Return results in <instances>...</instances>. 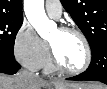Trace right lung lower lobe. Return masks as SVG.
<instances>
[{"mask_svg":"<svg viewBox=\"0 0 107 89\" xmlns=\"http://www.w3.org/2000/svg\"><path fill=\"white\" fill-rule=\"evenodd\" d=\"M20 65L14 60L10 61L0 57V72L5 74H15L19 69Z\"/></svg>","mask_w":107,"mask_h":89,"instance_id":"98d812e1","label":"right lung lower lobe"}]
</instances>
